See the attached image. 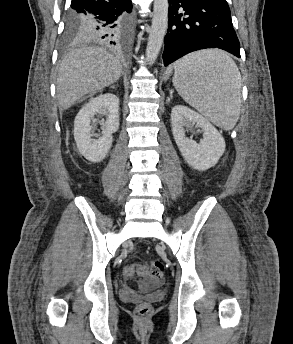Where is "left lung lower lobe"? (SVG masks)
<instances>
[{"instance_id": "0a47b994", "label": "left lung lower lobe", "mask_w": 293, "mask_h": 344, "mask_svg": "<svg viewBox=\"0 0 293 344\" xmlns=\"http://www.w3.org/2000/svg\"><path fill=\"white\" fill-rule=\"evenodd\" d=\"M169 27L164 66L205 48H220L240 58V44L226 0H168Z\"/></svg>"}]
</instances>
